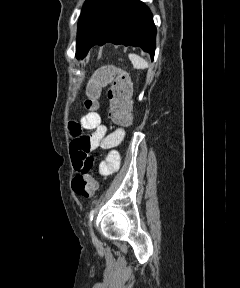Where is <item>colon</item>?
Returning a JSON list of instances; mask_svg holds the SVG:
<instances>
[{"mask_svg":"<svg viewBox=\"0 0 240 288\" xmlns=\"http://www.w3.org/2000/svg\"><path fill=\"white\" fill-rule=\"evenodd\" d=\"M109 86V116L117 125L131 122V83L128 74L115 66L105 65L94 71L85 90V106L89 110L98 107V99L104 87ZM73 191L82 198H90L98 188L97 182L86 172L74 177Z\"/></svg>","mask_w":240,"mask_h":288,"instance_id":"5ec220e1","label":"colon"}]
</instances>
